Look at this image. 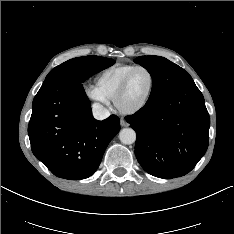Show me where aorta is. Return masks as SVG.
Here are the masks:
<instances>
[{
  "label": "aorta",
  "instance_id": "762f6f07",
  "mask_svg": "<svg viewBox=\"0 0 234 234\" xmlns=\"http://www.w3.org/2000/svg\"><path fill=\"white\" fill-rule=\"evenodd\" d=\"M119 139L123 144H133L136 141V132L132 128H124L119 133Z\"/></svg>",
  "mask_w": 234,
  "mask_h": 234
}]
</instances>
